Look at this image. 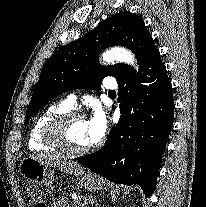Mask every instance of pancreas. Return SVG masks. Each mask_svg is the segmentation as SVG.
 <instances>
[{"instance_id": "cf45deb5", "label": "pancreas", "mask_w": 206, "mask_h": 207, "mask_svg": "<svg viewBox=\"0 0 206 207\" xmlns=\"http://www.w3.org/2000/svg\"><path fill=\"white\" fill-rule=\"evenodd\" d=\"M71 206L72 207H86V202L80 203V201H73ZM57 207H66V201L62 199L61 201L58 202Z\"/></svg>"}]
</instances>
